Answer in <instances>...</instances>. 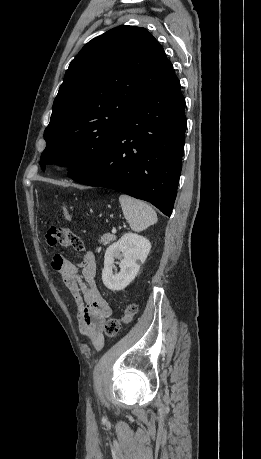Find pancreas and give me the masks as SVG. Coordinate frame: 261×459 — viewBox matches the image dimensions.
Segmentation results:
<instances>
[{
	"mask_svg": "<svg viewBox=\"0 0 261 459\" xmlns=\"http://www.w3.org/2000/svg\"><path fill=\"white\" fill-rule=\"evenodd\" d=\"M116 240V236L113 235V234H104L103 236H101L99 242L102 244V245H107L113 241Z\"/></svg>",
	"mask_w": 261,
	"mask_h": 459,
	"instance_id": "cf45deb5",
	"label": "pancreas"
}]
</instances>
